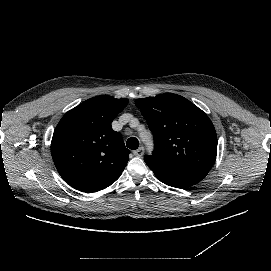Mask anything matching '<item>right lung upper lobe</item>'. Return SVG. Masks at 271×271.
<instances>
[{"instance_id": "obj_1", "label": "right lung upper lobe", "mask_w": 271, "mask_h": 271, "mask_svg": "<svg viewBox=\"0 0 271 271\" xmlns=\"http://www.w3.org/2000/svg\"><path fill=\"white\" fill-rule=\"evenodd\" d=\"M128 99L96 96L68 111L55 128L51 154L57 171L82 192L107 188L121 175L130 151L111 128Z\"/></svg>"}]
</instances>
